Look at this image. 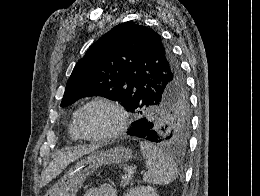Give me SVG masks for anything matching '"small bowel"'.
Masks as SVG:
<instances>
[{"instance_id":"1","label":"small bowel","mask_w":260,"mask_h":196,"mask_svg":"<svg viewBox=\"0 0 260 196\" xmlns=\"http://www.w3.org/2000/svg\"><path fill=\"white\" fill-rule=\"evenodd\" d=\"M85 196H117L115 189L110 184H102L98 187H91Z\"/></svg>"}]
</instances>
